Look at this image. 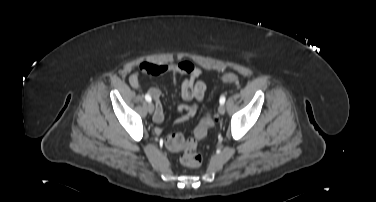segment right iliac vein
I'll use <instances>...</instances> for the list:
<instances>
[{
    "label": "right iliac vein",
    "mask_w": 376,
    "mask_h": 202,
    "mask_svg": "<svg viewBox=\"0 0 376 202\" xmlns=\"http://www.w3.org/2000/svg\"><path fill=\"white\" fill-rule=\"evenodd\" d=\"M147 108H148V112H149L150 114H152L153 111H154V104L151 103V102H149L148 105H147Z\"/></svg>",
    "instance_id": "obj_1"
}]
</instances>
